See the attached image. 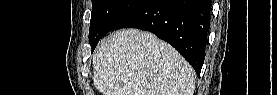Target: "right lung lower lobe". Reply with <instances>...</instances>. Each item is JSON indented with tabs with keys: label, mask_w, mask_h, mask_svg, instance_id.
<instances>
[{
	"label": "right lung lower lobe",
	"mask_w": 277,
	"mask_h": 95,
	"mask_svg": "<svg viewBox=\"0 0 277 95\" xmlns=\"http://www.w3.org/2000/svg\"><path fill=\"white\" fill-rule=\"evenodd\" d=\"M210 0H144L112 30H147L172 45L195 69L204 62Z\"/></svg>",
	"instance_id": "98d812e1"
}]
</instances>
